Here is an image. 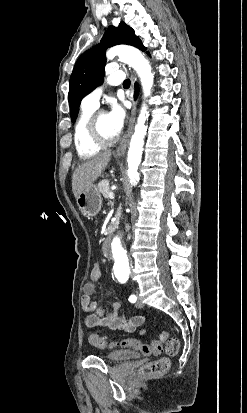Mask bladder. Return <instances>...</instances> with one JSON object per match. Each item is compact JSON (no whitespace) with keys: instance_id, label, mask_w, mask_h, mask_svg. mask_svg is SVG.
Here are the masks:
<instances>
[{"instance_id":"31cf9c89","label":"bladder","mask_w":247,"mask_h":413,"mask_svg":"<svg viewBox=\"0 0 247 413\" xmlns=\"http://www.w3.org/2000/svg\"><path fill=\"white\" fill-rule=\"evenodd\" d=\"M139 356L140 353L137 351L118 349L114 352L105 354V360L123 363L127 360L137 359Z\"/></svg>"}]
</instances>
